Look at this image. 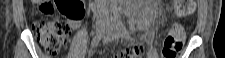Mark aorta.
<instances>
[{
  "label": "aorta",
  "mask_w": 225,
  "mask_h": 58,
  "mask_svg": "<svg viewBox=\"0 0 225 58\" xmlns=\"http://www.w3.org/2000/svg\"><path fill=\"white\" fill-rule=\"evenodd\" d=\"M112 1L114 2L115 0H112ZM111 8H112L113 13H114V14H117V7H116V5L113 4V5L111 6Z\"/></svg>",
  "instance_id": "aorta-1"
}]
</instances>
